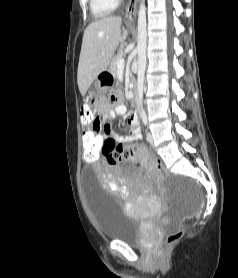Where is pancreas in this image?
I'll return each instance as SVG.
<instances>
[{
  "label": "pancreas",
  "mask_w": 238,
  "mask_h": 278,
  "mask_svg": "<svg viewBox=\"0 0 238 278\" xmlns=\"http://www.w3.org/2000/svg\"><path fill=\"white\" fill-rule=\"evenodd\" d=\"M122 53L118 52L116 55H114L111 59L110 62V67H109V72L116 77L118 73V68H117V62L122 58Z\"/></svg>",
  "instance_id": "obj_1"
}]
</instances>
